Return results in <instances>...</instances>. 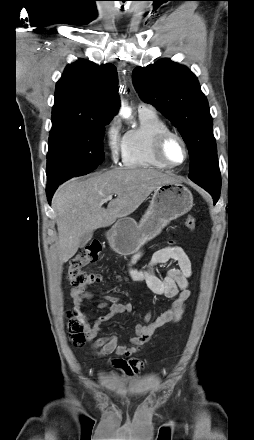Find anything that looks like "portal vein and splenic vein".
<instances>
[{
  "label": "portal vein and splenic vein",
  "instance_id": "portal-vein-and-splenic-vein-1",
  "mask_svg": "<svg viewBox=\"0 0 254 440\" xmlns=\"http://www.w3.org/2000/svg\"><path fill=\"white\" fill-rule=\"evenodd\" d=\"M112 197H113L112 195H108V196L105 197L104 201L112 200Z\"/></svg>",
  "mask_w": 254,
  "mask_h": 440
}]
</instances>
